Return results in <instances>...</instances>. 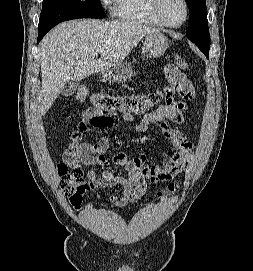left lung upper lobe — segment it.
Here are the masks:
<instances>
[{
	"instance_id": "obj_1",
	"label": "left lung upper lobe",
	"mask_w": 253,
	"mask_h": 271,
	"mask_svg": "<svg viewBox=\"0 0 253 271\" xmlns=\"http://www.w3.org/2000/svg\"><path fill=\"white\" fill-rule=\"evenodd\" d=\"M186 3L190 12L186 36L205 54L209 51L206 0H186Z\"/></svg>"
}]
</instances>
